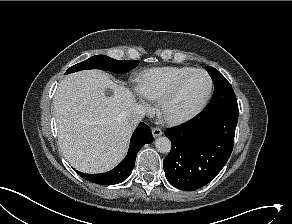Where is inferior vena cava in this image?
<instances>
[{
    "label": "inferior vena cava",
    "mask_w": 292,
    "mask_h": 224,
    "mask_svg": "<svg viewBox=\"0 0 292 224\" xmlns=\"http://www.w3.org/2000/svg\"><path fill=\"white\" fill-rule=\"evenodd\" d=\"M144 116V107L137 103H134L127 112V119L132 126H136Z\"/></svg>",
    "instance_id": "602c4592"
}]
</instances>
